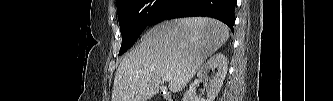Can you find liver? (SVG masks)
<instances>
[{"label":"liver","mask_w":333,"mask_h":101,"mask_svg":"<svg viewBox=\"0 0 333 101\" xmlns=\"http://www.w3.org/2000/svg\"><path fill=\"white\" fill-rule=\"evenodd\" d=\"M228 39L229 28L207 17L180 18L156 25L121 61L112 101H147L159 92L165 75H171V92L183 90L203 62Z\"/></svg>","instance_id":"obj_1"}]
</instances>
